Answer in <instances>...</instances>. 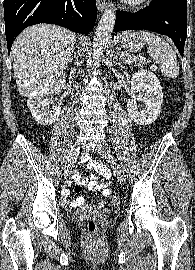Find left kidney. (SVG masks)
<instances>
[{
  "instance_id": "left-kidney-1",
  "label": "left kidney",
  "mask_w": 195,
  "mask_h": 270,
  "mask_svg": "<svg viewBox=\"0 0 195 270\" xmlns=\"http://www.w3.org/2000/svg\"><path fill=\"white\" fill-rule=\"evenodd\" d=\"M130 83L131 99L127 102L128 115L136 124L149 125L160 113L163 101L160 81L154 73L142 69L133 74ZM136 100L144 102V110L138 109Z\"/></svg>"
}]
</instances>
